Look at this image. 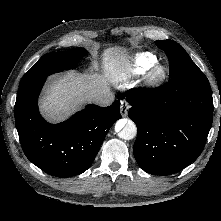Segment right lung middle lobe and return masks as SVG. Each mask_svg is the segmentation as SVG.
<instances>
[{
	"instance_id": "obj_1",
	"label": "right lung middle lobe",
	"mask_w": 221,
	"mask_h": 221,
	"mask_svg": "<svg viewBox=\"0 0 221 221\" xmlns=\"http://www.w3.org/2000/svg\"><path fill=\"white\" fill-rule=\"evenodd\" d=\"M86 54L84 48H74L70 51L45 54L22 78L19 86L46 78L47 76L74 68L79 59Z\"/></svg>"
}]
</instances>
